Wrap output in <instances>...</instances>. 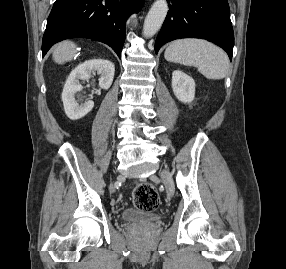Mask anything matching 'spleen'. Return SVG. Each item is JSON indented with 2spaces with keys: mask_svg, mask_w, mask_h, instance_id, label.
Returning a JSON list of instances; mask_svg holds the SVG:
<instances>
[{
  "mask_svg": "<svg viewBox=\"0 0 286 269\" xmlns=\"http://www.w3.org/2000/svg\"><path fill=\"white\" fill-rule=\"evenodd\" d=\"M164 57L169 62L197 67L207 79H223L230 68L227 54L201 39L176 40L167 47Z\"/></svg>",
  "mask_w": 286,
  "mask_h": 269,
  "instance_id": "spleen-1",
  "label": "spleen"
}]
</instances>
